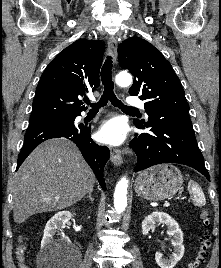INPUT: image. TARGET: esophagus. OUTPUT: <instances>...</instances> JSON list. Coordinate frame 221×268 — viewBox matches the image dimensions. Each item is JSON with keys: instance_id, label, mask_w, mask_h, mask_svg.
I'll return each instance as SVG.
<instances>
[{"instance_id": "obj_1", "label": "esophagus", "mask_w": 221, "mask_h": 268, "mask_svg": "<svg viewBox=\"0 0 221 268\" xmlns=\"http://www.w3.org/2000/svg\"><path fill=\"white\" fill-rule=\"evenodd\" d=\"M108 47H109V52L111 53L113 57V62H116V57H117V40L115 37L111 36L108 40ZM111 162L115 166H120L123 163V157H122V152L119 149H115L111 152L110 156Z\"/></svg>"}]
</instances>
